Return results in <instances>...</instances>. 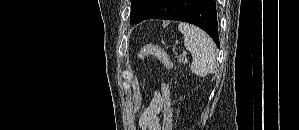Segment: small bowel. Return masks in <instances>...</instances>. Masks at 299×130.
<instances>
[{
    "mask_svg": "<svg viewBox=\"0 0 299 130\" xmlns=\"http://www.w3.org/2000/svg\"><path fill=\"white\" fill-rule=\"evenodd\" d=\"M163 104V96L159 91L155 90L149 105L139 117L138 124L141 130H161L159 114L163 108Z\"/></svg>",
    "mask_w": 299,
    "mask_h": 130,
    "instance_id": "obj_1",
    "label": "small bowel"
}]
</instances>
